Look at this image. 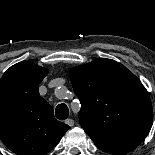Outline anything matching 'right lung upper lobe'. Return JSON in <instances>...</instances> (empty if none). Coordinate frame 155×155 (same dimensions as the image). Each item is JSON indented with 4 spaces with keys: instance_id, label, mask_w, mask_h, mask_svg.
Segmentation results:
<instances>
[{
    "instance_id": "1",
    "label": "right lung upper lobe",
    "mask_w": 155,
    "mask_h": 155,
    "mask_svg": "<svg viewBox=\"0 0 155 155\" xmlns=\"http://www.w3.org/2000/svg\"><path fill=\"white\" fill-rule=\"evenodd\" d=\"M48 71L32 62L11 66L0 79V139L17 155H45L70 128L39 94Z\"/></svg>"
}]
</instances>
